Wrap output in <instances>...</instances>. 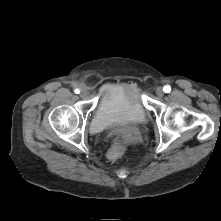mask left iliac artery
<instances>
[{"label": "left iliac artery", "mask_w": 221, "mask_h": 221, "mask_svg": "<svg viewBox=\"0 0 221 221\" xmlns=\"http://www.w3.org/2000/svg\"><path fill=\"white\" fill-rule=\"evenodd\" d=\"M163 91H164L165 93H169V92L171 91L170 86H169V85L164 86Z\"/></svg>", "instance_id": "44dca946"}]
</instances>
